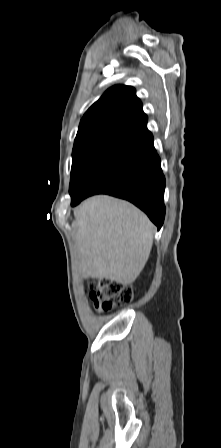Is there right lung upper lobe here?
<instances>
[{"label": "right lung upper lobe", "mask_w": 221, "mask_h": 448, "mask_svg": "<svg viewBox=\"0 0 221 448\" xmlns=\"http://www.w3.org/2000/svg\"><path fill=\"white\" fill-rule=\"evenodd\" d=\"M147 116L131 86L108 89L83 116L74 149L89 145L116 146L146 127Z\"/></svg>", "instance_id": "1"}]
</instances>
